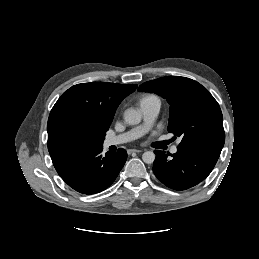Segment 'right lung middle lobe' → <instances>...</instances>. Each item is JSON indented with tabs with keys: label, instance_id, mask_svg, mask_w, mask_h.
Here are the masks:
<instances>
[{
	"label": "right lung middle lobe",
	"instance_id": "right-lung-middle-lobe-1",
	"mask_svg": "<svg viewBox=\"0 0 259 259\" xmlns=\"http://www.w3.org/2000/svg\"><path fill=\"white\" fill-rule=\"evenodd\" d=\"M74 148L102 146L105 133L93 130L82 124H74L69 131Z\"/></svg>",
	"mask_w": 259,
	"mask_h": 259
}]
</instances>
